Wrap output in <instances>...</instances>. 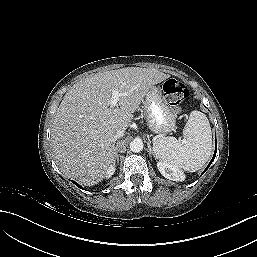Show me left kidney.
<instances>
[{
    "instance_id": "obj_1",
    "label": "left kidney",
    "mask_w": 257,
    "mask_h": 257,
    "mask_svg": "<svg viewBox=\"0 0 257 257\" xmlns=\"http://www.w3.org/2000/svg\"><path fill=\"white\" fill-rule=\"evenodd\" d=\"M158 170L167 179L173 181H182L185 179V175L181 170L172 166L166 162L160 161L157 163Z\"/></svg>"
}]
</instances>
